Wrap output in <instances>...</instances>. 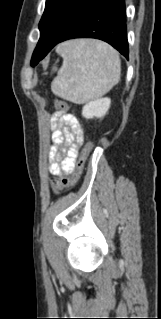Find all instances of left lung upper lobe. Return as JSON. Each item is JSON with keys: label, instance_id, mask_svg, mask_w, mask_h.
I'll list each match as a JSON object with an SVG mask.
<instances>
[{"label": "left lung upper lobe", "instance_id": "5c2ea615", "mask_svg": "<svg viewBox=\"0 0 161 319\" xmlns=\"http://www.w3.org/2000/svg\"><path fill=\"white\" fill-rule=\"evenodd\" d=\"M99 0H46L39 23L40 39L33 53L35 66L61 37Z\"/></svg>", "mask_w": 161, "mask_h": 319}]
</instances>
